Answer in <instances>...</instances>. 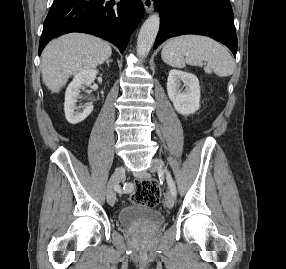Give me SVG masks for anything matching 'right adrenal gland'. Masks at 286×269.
<instances>
[{
    "instance_id": "obj_1",
    "label": "right adrenal gland",
    "mask_w": 286,
    "mask_h": 269,
    "mask_svg": "<svg viewBox=\"0 0 286 269\" xmlns=\"http://www.w3.org/2000/svg\"><path fill=\"white\" fill-rule=\"evenodd\" d=\"M110 62H112V59L106 60V63H107V65H108V67H109V63H110Z\"/></svg>"
}]
</instances>
